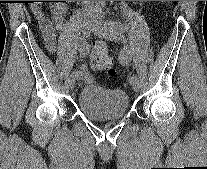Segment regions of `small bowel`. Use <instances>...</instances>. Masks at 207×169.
Segmentation results:
<instances>
[{
    "label": "small bowel",
    "instance_id": "small-bowel-1",
    "mask_svg": "<svg viewBox=\"0 0 207 169\" xmlns=\"http://www.w3.org/2000/svg\"><path fill=\"white\" fill-rule=\"evenodd\" d=\"M32 11L37 20L38 28L45 48L50 53H54L57 49L58 43L57 33L63 26V18L66 13V7L61 3L55 5L51 10V17H49L45 11L37 7L33 8ZM78 73L81 78H89L88 69L86 67H82Z\"/></svg>",
    "mask_w": 207,
    "mask_h": 169
}]
</instances>
